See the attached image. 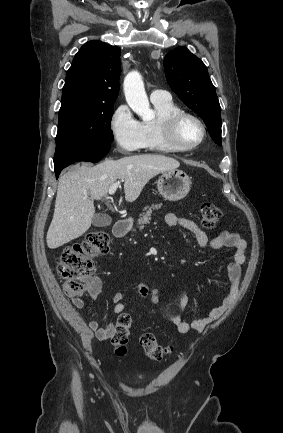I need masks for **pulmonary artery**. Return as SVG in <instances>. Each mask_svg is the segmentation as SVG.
Segmentation results:
<instances>
[{"label": "pulmonary artery", "instance_id": "obj_1", "mask_svg": "<svg viewBox=\"0 0 283 433\" xmlns=\"http://www.w3.org/2000/svg\"><path fill=\"white\" fill-rule=\"evenodd\" d=\"M168 94L169 93L167 91H165V90H156V89L151 90L150 91V95H149L150 96V101L152 103H156V102H159V101L168 100V99H170V97H169Z\"/></svg>", "mask_w": 283, "mask_h": 433}]
</instances>
